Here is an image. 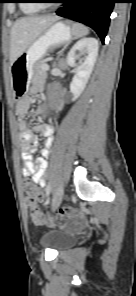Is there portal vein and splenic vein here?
<instances>
[{
	"label": "portal vein and splenic vein",
	"mask_w": 136,
	"mask_h": 296,
	"mask_svg": "<svg viewBox=\"0 0 136 296\" xmlns=\"http://www.w3.org/2000/svg\"><path fill=\"white\" fill-rule=\"evenodd\" d=\"M43 69L48 70L49 67L47 65H45Z\"/></svg>",
	"instance_id": "obj_1"
}]
</instances>
